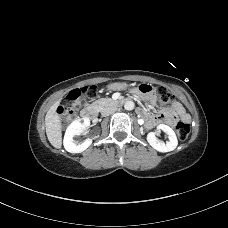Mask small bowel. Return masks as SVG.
<instances>
[{"label": "small bowel", "instance_id": "1", "mask_svg": "<svg viewBox=\"0 0 228 228\" xmlns=\"http://www.w3.org/2000/svg\"><path fill=\"white\" fill-rule=\"evenodd\" d=\"M146 99L151 102L155 101V98L152 94L147 96ZM139 111L142 115H144V116L147 115L146 109L140 108ZM178 118L182 119L186 122L189 121V115L185 112L183 106L180 103L176 102V103H174L171 111L152 116L149 119V123L151 125H156L159 123L173 124L174 121Z\"/></svg>", "mask_w": 228, "mask_h": 228}]
</instances>
